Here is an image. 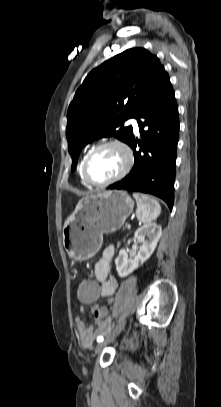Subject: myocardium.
<instances>
[{
  "label": "myocardium",
  "instance_id": "obj_1",
  "mask_svg": "<svg viewBox=\"0 0 221 407\" xmlns=\"http://www.w3.org/2000/svg\"><path fill=\"white\" fill-rule=\"evenodd\" d=\"M110 146H115L122 150V152L124 153L125 158H126L125 165H124L123 169L121 170V172L118 175H116L115 177H113L109 180L103 181V182L94 181L93 179H91V177L89 176V173H88L89 162L96 153H98L102 149L110 147ZM133 165H134V155H133L131 148L125 142H123L121 140L111 139V140H107L105 142L100 143L99 145L95 146L94 148H92L89 151V153L86 155V157L83 161V164H82V176L89 185H92L95 187L109 186L111 184H114V183L120 181L126 175H128V173L133 168Z\"/></svg>",
  "mask_w": 221,
  "mask_h": 407
}]
</instances>
